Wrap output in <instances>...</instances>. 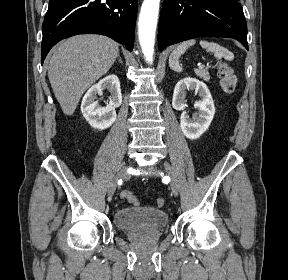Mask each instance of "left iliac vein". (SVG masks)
Wrapping results in <instances>:
<instances>
[{"instance_id":"1","label":"left iliac vein","mask_w":288,"mask_h":280,"mask_svg":"<svg viewBox=\"0 0 288 280\" xmlns=\"http://www.w3.org/2000/svg\"><path fill=\"white\" fill-rule=\"evenodd\" d=\"M165 170L169 176H172V174H173L172 169L168 163H165ZM170 186H171L172 193L175 196H177L178 195V184L174 178L171 179Z\"/></svg>"}]
</instances>
